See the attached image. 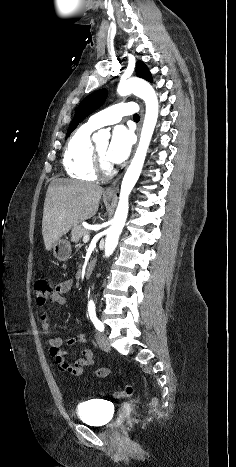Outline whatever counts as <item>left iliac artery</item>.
I'll return each instance as SVG.
<instances>
[{
  "label": "left iliac artery",
  "mask_w": 236,
  "mask_h": 467,
  "mask_svg": "<svg viewBox=\"0 0 236 467\" xmlns=\"http://www.w3.org/2000/svg\"><path fill=\"white\" fill-rule=\"evenodd\" d=\"M88 313H89V317H90L92 323L94 324L95 328L100 332L104 331L103 323L96 316V309H95L94 302H89V304H88Z\"/></svg>",
  "instance_id": "obj_1"
}]
</instances>
